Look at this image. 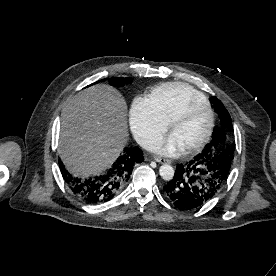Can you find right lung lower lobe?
I'll list each match as a JSON object with an SVG mask.
<instances>
[{
	"instance_id": "98d812e1",
	"label": "right lung lower lobe",
	"mask_w": 276,
	"mask_h": 276,
	"mask_svg": "<svg viewBox=\"0 0 276 276\" xmlns=\"http://www.w3.org/2000/svg\"><path fill=\"white\" fill-rule=\"evenodd\" d=\"M144 160L143 152L138 147L125 148L110 169L103 175L88 179L76 178L69 174L59 161L64 180L72 192L90 204L111 200L129 181L133 168Z\"/></svg>"
}]
</instances>
